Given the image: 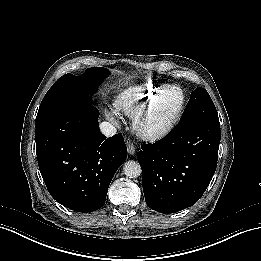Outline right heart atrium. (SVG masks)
I'll use <instances>...</instances> for the list:
<instances>
[{"label":"right heart atrium","instance_id":"obj_1","mask_svg":"<svg viewBox=\"0 0 261 261\" xmlns=\"http://www.w3.org/2000/svg\"><path fill=\"white\" fill-rule=\"evenodd\" d=\"M106 117H107V119H108L109 121H111V122H113V123H117L114 114H112V113H107V114H106Z\"/></svg>","mask_w":261,"mask_h":261}]
</instances>
